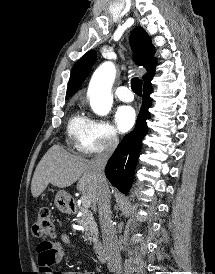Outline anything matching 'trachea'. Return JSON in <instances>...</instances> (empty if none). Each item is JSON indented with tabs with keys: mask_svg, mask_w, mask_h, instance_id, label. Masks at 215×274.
Segmentation results:
<instances>
[{
	"mask_svg": "<svg viewBox=\"0 0 215 274\" xmlns=\"http://www.w3.org/2000/svg\"><path fill=\"white\" fill-rule=\"evenodd\" d=\"M131 88L132 90L139 96L142 93V81L138 78H133L131 80Z\"/></svg>",
	"mask_w": 215,
	"mask_h": 274,
	"instance_id": "3493384b",
	"label": "trachea"
}]
</instances>
